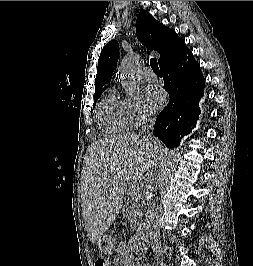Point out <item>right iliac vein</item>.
<instances>
[{
	"label": "right iliac vein",
	"mask_w": 253,
	"mask_h": 266,
	"mask_svg": "<svg viewBox=\"0 0 253 266\" xmlns=\"http://www.w3.org/2000/svg\"><path fill=\"white\" fill-rule=\"evenodd\" d=\"M159 265L160 266H167L166 263L163 260H161V259L159 260Z\"/></svg>",
	"instance_id": "obj_1"
}]
</instances>
